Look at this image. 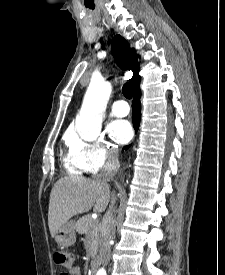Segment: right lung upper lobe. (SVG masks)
Returning a JSON list of instances; mask_svg holds the SVG:
<instances>
[{"instance_id": "obj_1", "label": "right lung upper lobe", "mask_w": 225, "mask_h": 275, "mask_svg": "<svg viewBox=\"0 0 225 275\" xmlns=\"http://www.w3.org/2000/svg\"><path fill=\"white\" fill-rule=\"evenodd\" d=\"M111 46L113 56L119 67L123 70H132L133 77L130 82L133 90H135L140 83L138 55L135 54L134 49H131L128 42L120 35L113 38Z\"/></svg>"}]
</instances>
